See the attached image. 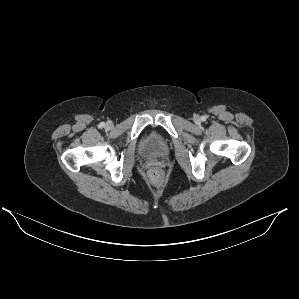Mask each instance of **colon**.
Here are the masks:
<instances>
[{
  "instance_id": "5ec220e1",
  "label": "colon",
  "mask_w": 299,
  "mask_h": 299,
  "mask_svg": "<svg viewBox=\"0 0 299 299\" xmlns=\"http://www.w3.org/2000/svg\"><path fill=\"white\" fill-rule=\"evenodd\" d=\"M148 176H149L150 181L153 182V183H155V184L161 183L162 180H163V174L157 168H152L149 171Z\"/></svg>"
}]
</instances>
